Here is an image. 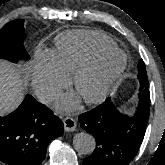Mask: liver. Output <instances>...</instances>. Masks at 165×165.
Segmentation results:
<instances>
[{"label":"liver","instance_id":"6515ba94","mask_svg":"<svg viewBox=\"0 0 165 165\" xmlns=\"http://www.w3.org/2000/svg\"><path fill=\"white\" fill-rule=\"evenodd\" d=\"M27 80L7 61L0 60V116L17 108L24 97Z\"/></svg>","mask_w":165,"mask_h":165}]
</instances>
